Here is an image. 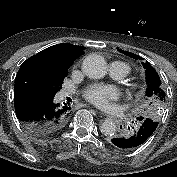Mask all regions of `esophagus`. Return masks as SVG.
I'll use <instances>...</instances> for the list:
<instances>
[{
  "mask_svg": "<svg viewBox=\"0 0 177 177\" xmlns=\"http://www.w3.org/2000/svg\"><path fill=\"white\" fill-rule=\"evenodd\" d=\"M99 115H100L101 117H104V116L107 115V114H106V112H105L104 110H101V111L99 112Z\"/></svg>",
  "mask_w": 177,
  "mask_h": 177,
  "instance_id": "34e87169",
  "label": "esophagus"
}]
</instances>
